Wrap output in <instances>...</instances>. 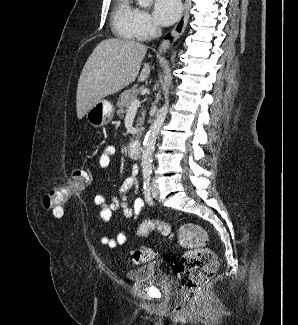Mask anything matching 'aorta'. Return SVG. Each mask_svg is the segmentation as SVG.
Masks as SVG:
<instances>
[{"mask_svg":"<svg viewBox=\"0 0 298 325\" xmlns=\"http://www.w3.org/2000/svg\"><path fill=\"white\" fill-rule=\"evenodd\" d=\"M153 0H137V4L142 6V8H146V6H151ZM169 112V98L167 96L164 104H162L161 108H159L158 114H156V118L150 126L143 142L142 148V158H141V167L143 173H148L151 171L153 165V150L154 144L156 142V136Z\"/></svg>","mask_w":298,"mask_h":325,"instance_id":"obj_1","label":"aorta"}]
</instances>
